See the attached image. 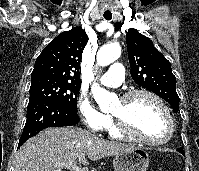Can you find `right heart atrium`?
I'll use <instances>...</instances> for the list:
<instances>
[{"label":"right heart atrium","mask_w":199,"mask_h":171,"mask_svg":"<svg viewBox=\"0 0 199 171\" xmlns=\"http://www.w3.org/2000/svg\"><path fill=\"white\" fill-rule=\"evenodd\" d=\"M76 108L83 123L91 131L100 132L106 128L109 116L99 111L86 94L78 96Z\"/></svg>","instance_id":"d8ad5b80"}]
</instances>
